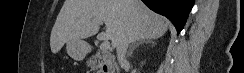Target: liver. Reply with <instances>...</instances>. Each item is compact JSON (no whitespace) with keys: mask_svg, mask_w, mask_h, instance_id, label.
Returning a JSON list of instances; mask_svg holds the SVG:
<instances>
[{"mask_svg":"<svg viewBox=\"0 0 244 73\" xmlns=\"http://www.w3.org/2000/svg\"><path fill=\"white\" fill-rule=\"evenodd\" d=\"M103 22L106 31L97 38L111 40L112 48L117 47L123 36L129 43L158 39L169 25L166 18L140 0H65L50 36L52 53H58L68 41L96 35Z\"/></svg>","mask_w":244,"mask_h":73,"instance_id":"liver-1","label":"liver"}]
</instances>
